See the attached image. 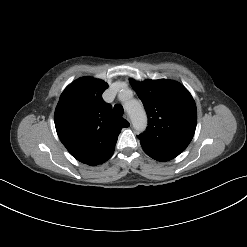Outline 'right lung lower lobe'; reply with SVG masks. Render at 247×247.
I'll list each match as a JSON object with an SVG mask.
<instances>
[{"label": "right lung lower lobe", "instance_id": "98d812e1", "mask_svg": "<svg viewBox=\"0 0 247 247\" xmlns=\"http://www.w3.org/2000/svg\"><path fill=\"white\" fill-rule=\"evenodd\" d=\"M113 152H114V150L110 153V155L103 162H105L106 160H108L112 156Z\"/></svg>", "mask_w": 247, "mask_h": 247}]
</instances>
